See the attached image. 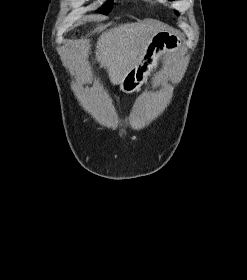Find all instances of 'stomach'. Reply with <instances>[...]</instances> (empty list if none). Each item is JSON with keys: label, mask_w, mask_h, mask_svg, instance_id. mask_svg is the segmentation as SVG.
Returning <instances> with one entry per match:
<instances>
[{"label": "stomach", "mask_w": 247, "mask_h": 280, "mask_svg": "<svg viewBox=\"0 0 247 280\" xmlns=\"http://www.w3.org/2000/svg\"><path fill=\"white\" fill-rule=\"evenodd\" d=\"M180 40L172 33L159 31L154 33L147 43L140 62L133 67L120 83L124 93L138 91L147 81L151 71L166 53H173L180 47Z\"/></svg>", "instance_id": "0dacf381"}]
</instances>
